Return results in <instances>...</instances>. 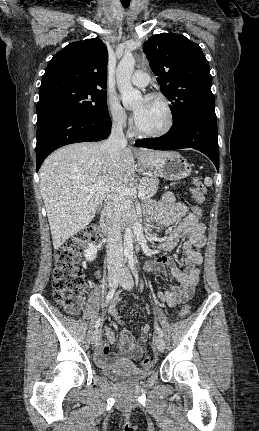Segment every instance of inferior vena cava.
Instances as JSON below:
<instances>
[{"label":"inferior vena cava","instance_id":"602c4592","mask_svg":"<svg viewBox=\"0 0 259 431\" xmlns=\"http://www.w3.org/2000/svg\"><path fill=\"white\" fill-rule=\"evenodd\" d=\"M127 145V140L123 133L121 121H115L109 138L103 143L102 149H107L108 154L115 162L119 159V153ZM106 212L109 218V227L107 232V261L108 264L122 266L123 247L121 235V208L117 196L109 195L106 199Z\"/></svg>","mask_w":259,"mask_h":431}]
</instances>
